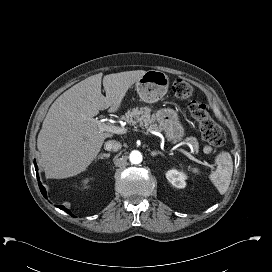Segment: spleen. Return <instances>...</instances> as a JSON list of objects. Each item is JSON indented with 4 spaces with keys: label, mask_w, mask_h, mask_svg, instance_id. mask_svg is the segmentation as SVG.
Segmentation results:
<instances>
[{
    "label": "spleen",
    "mask_w": 272,
    "mask_h": 272,
    "mask_svg": "<svg viewBox=\"0 0 272 272\" xmlns=\"http://www.w3.org/2000/svg\"><path fill=\"white\" fill-rule=\"evenodd\" d=\"M217 169L210 175V179L221 194L228 189L233 173V162L228 152H222L218 155ZM193 173H198L197 168H192Z\"/></svg>",
    "instance_id": "obj_1"
}]
</instances>
